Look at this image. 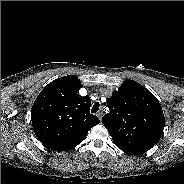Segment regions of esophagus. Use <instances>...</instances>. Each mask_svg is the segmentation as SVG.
<instances>
[{
    "instance_id": "34e87169",
    "label": "esophagus",
    "mask_w": 184,
    "mask_h": 184,
    "mask_svg": "<svg viewBox=\"0 0 184 184\" xmlns=\"http://www.w3.org/2000/svg\"><path fill=\"white\" fill-rule=\"evenodd\" d=\"M97 116H98V118L101 120V119H102V116H103V111L100 110V111L97 113Z\"/></svg>"
}]
</instances>
